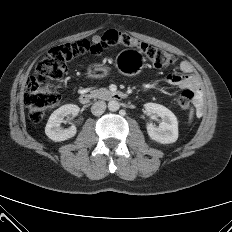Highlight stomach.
I'll return each instance as SVG.
<instances>
[{
	"instance_id": "1",
	"label": "stomach",
	"mask_w": 232,
	"mask_h": 232,
	"mask_svg": "<svg viewBox=\"0 0 232 232\" xmlns=\"http://www.w3.org/2000/svg\"><path fill=\"white\" fill-rule=\"evenodd\" d=\"M145 61V57L140 51L123 50L116 57V66L122 74L132 76L141 72ZM109 72V67L102 64H92L87 68V75L96 79L107 77Z\"/></svg>"
}]
</instances>
